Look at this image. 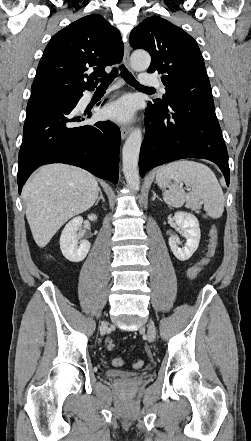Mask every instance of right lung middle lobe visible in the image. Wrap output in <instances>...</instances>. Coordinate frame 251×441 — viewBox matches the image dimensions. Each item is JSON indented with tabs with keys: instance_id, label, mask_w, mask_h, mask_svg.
Wrapping results in <instances>:
<instances>
[{
	"instance_id": "obj_1",
	"label": "right lung middle lobe",
	"mask_w": 251,
	"mask_h": 441,
	"mask_svg": "<svg viewBox=\"0 0 251 441\" xmlns=\"http://www.w3.org/2000/svg\"><path fill=\"white\" fill-rule=\"evenodd\" d=\"M53 97L62 98V97H64V95H55Z\"/></svg>"
}]
</instances>
